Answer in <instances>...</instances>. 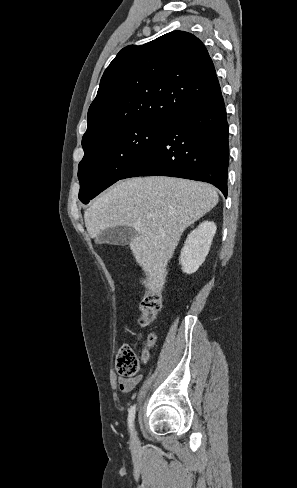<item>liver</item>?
<instances>
[{
    "instance_id": "6515ba94",
    "label": "liver",
    "mask_w": 297,
    "mask_h": 488,
    "mask_svg": "<svg viewBox=\"0 0 297 488\" xmlns=\"http://www.w3.org/2000/svg\"><path fill=\"white\" fill-rule=\"evenodd\" d=\"M218 203L209 184L170 177H138L119 181L85 211V226L96 239L106 228L130 226L136 262L145 272V287L163 289L166 265L184 230Z\"/></svg>"
}]
</instances>
